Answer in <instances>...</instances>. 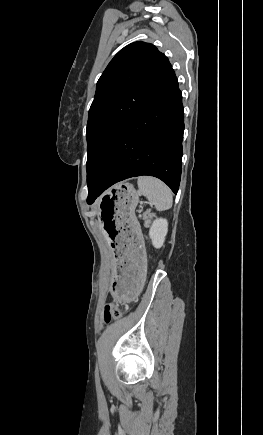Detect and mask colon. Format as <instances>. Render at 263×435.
<instances>
[{
    "mask_svg": "<svg viewBox=\"0 0 263 435\" xmlns=\"http://www.w3.org/2000/svg\"><path fill=\"white\" fill-rule=\"evenodd\" d=\"M122 305L107 304L103 309V319L106 323L121 316Z\"/></svg>",
    "mask_w": 263,
    "mask_h": 435,
    "instance_id": "obj_1",
    "label": "colon"
}]
</instances>
